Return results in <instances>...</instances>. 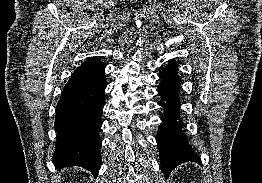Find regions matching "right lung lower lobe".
Listing matches in <instances>:
<instances>
[{
    "instance_id": "obj_1",
    "label": "right lung lower lobe",
    "mask_w": 262,
    "mask_h": 183,
    "mask_svg": "<svg viewBox=\"0 0 262 183\" xmlns=\"http://www.w3.org/2000/svg\"><path fill=\"white\" fill-rule=\"evenodd\" d=\"M106 65L86 61L65 85L56 109L58 133L53 163L59 168L82 166L96 175L101 165V112L105 104Z\"/></svg>"
}]
</instances>
